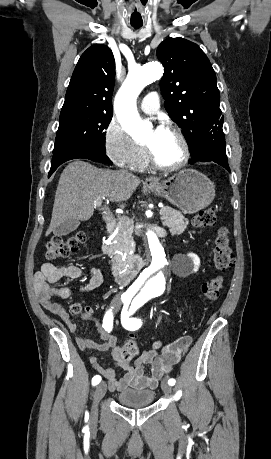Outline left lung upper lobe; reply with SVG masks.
Instances as JSON below:
<instances>
[{
	"label": "left lung upper lobe",
	"instance_id": "5c2ea615",
	"mask_svg": "<svg viewBox=\"0 0 271 459\" xmlns=\"http://www.w3.org/2000/svg\"><path fill=\"white\" fill-rule=\"evenodd\" d=\"M157 57L165 67L160 82L165 108L182 129L191 160L196 159L204 136L224 122L215 72L199 46L183 38L164 40Z\"/></svg>",
	"mask_w": 271,
	"mask_h": 459
}]
</instances>
